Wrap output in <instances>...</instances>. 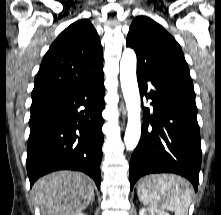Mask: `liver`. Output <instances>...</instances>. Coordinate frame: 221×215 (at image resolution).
<instances>
[{
	"mask_svg": "<svg viewBox=\"0 0 221 215\" xmlns=\"http://www.w3.org/2000/svg\"><path fill=\"white\" fill-rule=\"evenodd\" d=\"M35 202L42 215H76L94 200V182L84 173L58 171L33 185Z\"/></svg>",
	"mask_w": 221,
	"mask_h": 215,
	"instance_id": "obj_1",
	"label": "liver"
}]
</instances>
